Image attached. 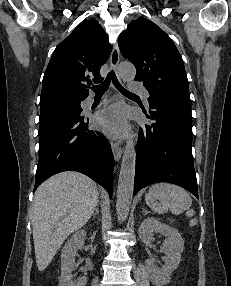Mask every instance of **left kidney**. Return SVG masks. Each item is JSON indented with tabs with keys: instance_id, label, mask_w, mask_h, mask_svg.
I'll use <instances>...</instances> for the list:
<instances>
[{
	"instance_id": "5707ae66",
	"label": "left kidney",
	"mask_w": 231,
	"mask_h": 286,
	"mask_svg": "<svg viewBox=\"0 0 231 286\" xmlns=\"http://www.w3.org/2000/svg\"><path fill=\"white\" fill-rule=\"evenodd\" d=\"M154 233H161L167 237L162 247V251L165 253V263L159 268L155 265V260L150 258L145 261V267L152 283L155 286H163L170 282L172 272L177 269L180 263L184 241L178 230L170 225L153 217L144 219L139 227L140 239L144 243H150Z\"/></svg>"
}]
</instances>
